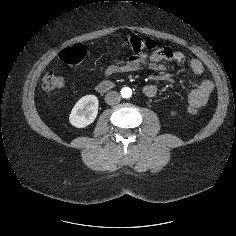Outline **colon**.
<instances>
[{
    "instance_id": "obj_1",
    "label": "colon",
    "mask_w": 236,
    "mask_h": 236,
    "mask_svg": "<svg viewBox=\"0 0 236 236\" xmlns=\"http://www.w3.org/2000/svg\"><path fill=\"white\" fill-rule=\"evenodd\" d=\"M122 43L125 47L136 53H156L160 52L163 47L152 39L140 37L138 35H127L122 39ZM87 53L84 45L77 44L72 47L63 49L59 54V60L67 65H78L83 61ZM65 85V79L62 75L55 71L46 73L43 79V86L46 90L54 91L63 88ZM198 109L190 107L191 113H196Z\"/></svg>"
}]
</instances>
